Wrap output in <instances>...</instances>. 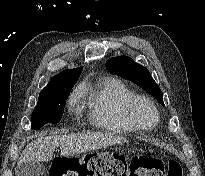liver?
<instances>
[{
  "label": "liver",
  "instance_id": "liver-1",
  "mask_svg": "<svg viewBox=\"0 0 205 176\" xmlns=\"http://www.w3.org/2000/svg\"><path fill=\"white\" fill-rule=\"evenodd\" d=\"M125 141L123 137L103 133L42 136L26 146L18 160V165L50 161L57 147L60 148L62 156L69 157Z\"/></svg>",
  "mask_w": 205,
  "mask_h": 176
}]
</instances>
